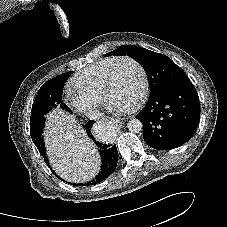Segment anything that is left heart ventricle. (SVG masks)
<instances>
[{"mask_svg":"<svg viewBox=\"0 0 227 227\" xmlns=\"http://www.w3.org/2000/svg\"><path fill=\"white\" fill-rule=\"evenodd\" d=\"M141 74L137 66L130 61H123L115 74L110 92V103L130 106L141 91Z\"/></svg>","mask_w":227,"mask_h":227,"instance_id":"left-heart-ventricle-1","label":"left heart ventricle"}]
</instances>
